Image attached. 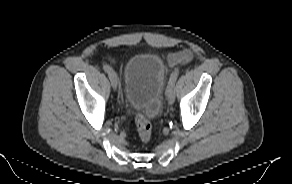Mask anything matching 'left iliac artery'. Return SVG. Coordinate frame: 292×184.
Listing matches in <instances>:
<instances>
[{
	"label": "left iliac artery",
	"mask_w": 292,
	"mask_h": 184,
	"mask_svg": "<svg viewBox=\"0 0 292 184\" xmlns=\"http://www.w3.org/2000/svg\"><path fill=\"white\" fill-rule=\"evenodd\" d=\"M179 75V70H175L174 72H172L170 78H169V82H168V86H167V90L168 91L171 87H174L175 82L178 78Z\"/></svg>",
	"instance_id": "left-iliac-artery-1"
}]
</instances>
